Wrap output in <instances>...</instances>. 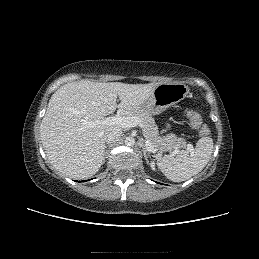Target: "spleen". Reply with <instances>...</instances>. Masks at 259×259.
Returning <instances> with one entry per match:
<instances>
[{
	"instance_id": "obj_1",
	"label": "spleen",
	"mask_w": 259,
	"mask_h": 259,
	"mask_svg": "<svg viewBox=\"0 0 259 259\" xmlns=\"http://www.w3.org/2000/svg\"><path fill=\"white\" fill-rule=\"evenodd\" d=\"M211 137H202L192 150H182L174 156H165L158 161L162 173L173 182H181L199 173L210 161L213 151Z\"/></svg>"
}]
</instances>
